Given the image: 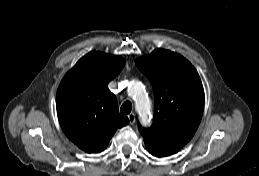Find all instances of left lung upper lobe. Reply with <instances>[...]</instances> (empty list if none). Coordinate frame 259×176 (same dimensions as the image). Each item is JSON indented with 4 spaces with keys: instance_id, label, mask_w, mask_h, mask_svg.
I'll use <instances>...</instances> for the list:
<instances>
[{
    "instance_id": "left-lung-upper-lobe-1",
    "label": "left lung upper lobe",
    "mask_w": 259,
    "mask_h": 176,
    "mask_svg": "<svg viewBox=\"0 0 259 176\" xmlns=\"http://www.w3.org/2000/svg\"><path fill=\"white\" fill-rule=\"evenodd\" d=\"M155 96L151 128L139 125L146 148L156 157L178 152L195 134L204 109V90L192 64L180 54L156 49L136 60Z\"/></svg>"
}]
</instances>
